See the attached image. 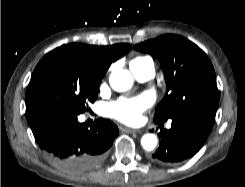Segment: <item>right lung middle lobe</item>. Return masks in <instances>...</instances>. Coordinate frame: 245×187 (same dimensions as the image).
Here are the masks:
<instances>
[{"label":"right lung middle lobe","mask_w":245,"mask_h":187,"mask_svg":"<svg viewBox=\"0 0 245 187\" xmlns=\"http://www.w3.org/2000/svg\"><path fill=\"white\" fill-rule=\"evenodd\" d=\"M103 76L77 46L64 45L47 53L26 91L28 120L51 110L85 112L98 96Z\"/></svg>","instance_id":"right-lung-middle-lobe-1"}]
</instances>
